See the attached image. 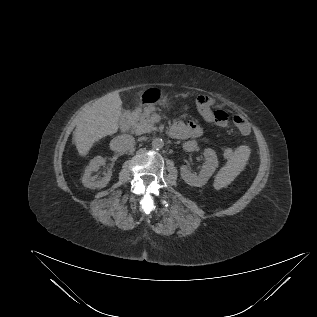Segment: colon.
I'll use <instances>...</instances> for the list:
<instances>
[{
	"label": "colon",
	"mask_w": 317,
	"mask_h": 317,
	"mask_svg": "<svg viewBox=\"0 0 317 317\" xmlns=\"http://www.w3.org/2000/svg\"><path fill=\"white\" fill-rule=\"evenodd\" d=\"M214 105V100L209 96H199L196 99V106L201 114L208 120H212L218 124H222L226 121L227 115L222 110L212 111ZM235 122L238 121L236 116L234 118Z\"/></svg>",
	"instance_id": "obj_1"
}]
</instances>
